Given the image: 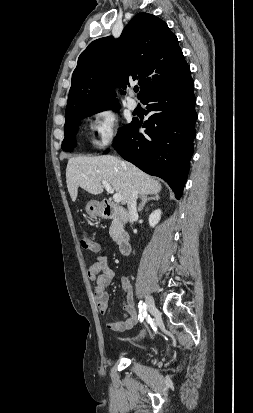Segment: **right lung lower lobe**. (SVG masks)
Returning <instances> with one entry per match:
<instances>
[{"mask_svg": "<svg viewBox=\"0 0 253 413\" xmlns=\"http://www.w3.org/2000/svg\"><path fill=\"white\" fill-rule=\"evenodd\" d=\"M141 102L151 113L142 125L145 133H139L141 122L133 120L113 147L144 172L164 179L179 199L196 136V98L190 67L176 81L146 94Z\"/></svg>", "mask_w": 253, "mask_h": 413, "instance_id": "1", "label": "right lung lower lobe"}]
</instances>
